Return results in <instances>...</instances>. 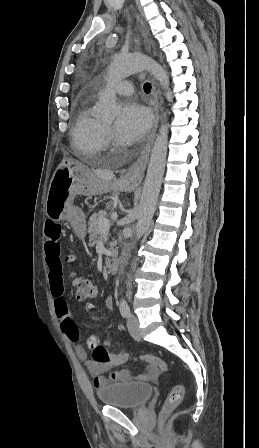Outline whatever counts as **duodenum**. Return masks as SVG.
I'll use <instances>...</instances> for the list:
<instances>
[{
    "mask_svg": "<svg viewBox=\"0 0 259 448\" xmlns=\"http://www.w3.org/2000/svg\"><path fill=\"white\" fill-rule=\"evenodd\" d=\"M121 261L119 259H114L111 261L108 267V271L110 274L115 275L120 271Z\"/></svg>",
    "mask_w": 259,
    "mask_h": 448,
    "instance_id": "1",
    "label": "duodenum"
}]
</instances>
